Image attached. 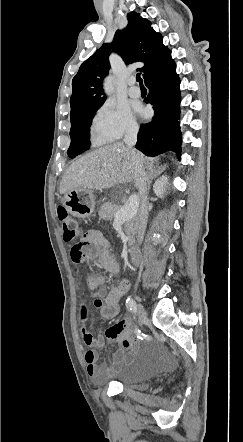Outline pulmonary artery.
<instances>
[{
	"label": "pulmonary artery",
	"instance_id": "1",
	"mask_svg": "<svg viewBox=\"0 0 243 442\" xmlns=\"http://www.w3.org/2000/svg\"><path fill=\"white\" fill-rule=\"evenodd\" d=\"M128 93L132 98H139L141 96V90L138 86H136L135 78H131L129 80V90Z\"/></svg>",
	"mask_w": 243,
	"mask_h": 442
}]
</instances>
